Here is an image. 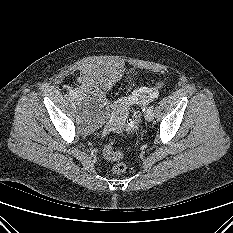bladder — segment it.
I'll return each instance as SVG.
<instances>
[{"mask_svg":"<svg viewBox=\"0 0 233 233\" xmlns=\"http://www.w3.org/2000/svg\"><path fill=\"white\" fill-rule=\"evenodd\" d=\"M121 77L114 66L89 64L81 68L76 101L79 104L81 125L90 133L103 126L109 117L106 90Z\"/></svg>","mask_w":233,"mask_h":233,"instance_id":"31cf9c89","label":"bladder"}]
</instances>
